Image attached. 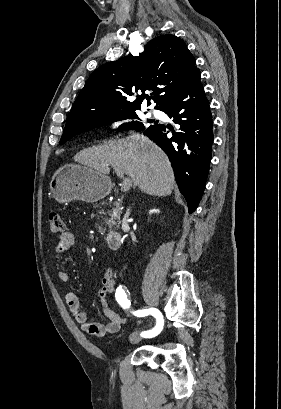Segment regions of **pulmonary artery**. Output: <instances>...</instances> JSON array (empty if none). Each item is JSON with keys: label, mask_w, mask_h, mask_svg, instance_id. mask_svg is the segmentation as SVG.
I'll return each instance as SVG.
<instances>
[{"label": "pulmonary artery", "mask_w": 281, "mask_h": 409, "mask_svg": "<svg viewBox=\"0 0 281 409\" xmlns=\"http://www.w3.org/2000/svg\"><path fill=\"white\" fill-rule=\"evenodd\" d=\"M150 114L153 115L155 118L163 117V113L155 109H151Z\"/></svg>", "instance_id": "e3ab8cb5"}]
</instances>
